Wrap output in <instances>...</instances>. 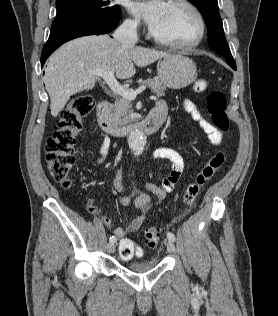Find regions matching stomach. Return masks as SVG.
Listing matches in <instances>:
<instances>
[{"instance_id":"0dacf381","label":"stomach","mask_w":278,"mask_h":316,"mask_svg":"<svg viewBox=\"0 0 278 316\" xmlns=\"http://www.w3.org/2000/svg\"><path fill=\"white\" fill-rule=\"evenodd\" d=\"M157 71L160 81L165 86L182 89L194 80L196 65L190 57L182 53H173L159 59Z\"/></svg>"}]
</instances>
